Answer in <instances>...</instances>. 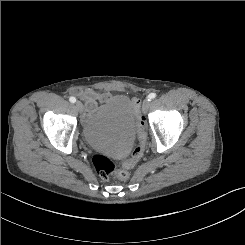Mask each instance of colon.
<instances>
[{
    "instance_id": "1",
    "label": "colon",
    "mask_w": 245,
    "mask_h": 245,
    "mask_svg": "<svg viewBox=\"0 0 245 245\" xmlns=\"http://www.w3.org/2000/svg\"><path fill=\"white\" fill-rule=\"evenodd\" d=\"M135 113L137 117L136 129L139 138V144L132 150L131 156L124 161L122 167L119 168L112 160L102 154L93 156V164L98 175L103 180L120 179L126 180L129 178V170L141 160L143 156L144 146L146 142L145 121L140 114V100L135 98L133 100Z\"/></svg>"
}]
</instances>
